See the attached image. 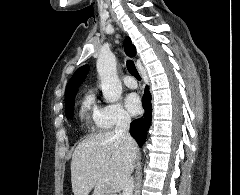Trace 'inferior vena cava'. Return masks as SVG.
I'll list each match as a JSON object with an SVG mask.
<instances>
[{
  "label": "inferior vena cava",
  "instance_id": "1",
  "mask_svg": "<svg viewBox=\"0 0 240 195\" xmlns=\"http://www.w3.org/2000/svg\"><path fill=\"white\" fill-rule=\"evenodd\" d=\"M130 121H131L130 115H128V113H122L115 127V137L123 139V141H125L127 145H132V143H134V139L133 137H131L129 133ZM133 189L134 179L133 177H130V179H127L123 187V195H133Z\"/></svg>",
  "mask_w": 240,
  "mask_h": 195
}]
</instances>
